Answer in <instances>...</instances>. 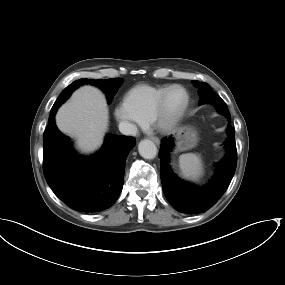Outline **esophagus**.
<instances>
[{"mask_svg":"<svg viewBox=\"0 0 285 285\" xmlns=\"http://www.w3.org/2000/svg\"><path fill=\"white\" fill-rule=\"evenodd\" d=\"M154 143H156L157 145H159L160 144V140H159V138L158 137H151L150 138Z\"/></svg>","mask_w":285,"mask_h":285,"instance_id":"1","label":"esophagus"}]
</instances>
